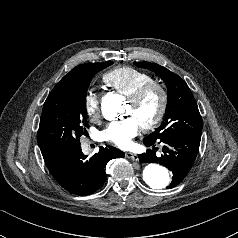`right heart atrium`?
<instances>
[{
	"mask_svg": "<svg viewBox=\"0 0 238 238\" xmlns=\"http://www.w3.org/2000/svg\"><path fill=\"white\" fill-rule=\"evenodd\" d=\"M84 109L92 120L98 119L100 113V97L96 91L90 90L85 94Z\"/></svg>",
	"mask_w": 238,
	"mask_h": 238,
	"instance_id": "obj_1",
	"label": "right heart atrium"
}]
</instances>
